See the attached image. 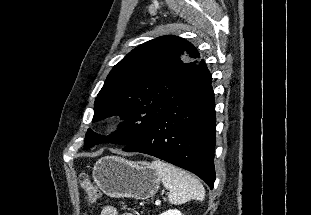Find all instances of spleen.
Here are the masks:
<instances>
[{
  "mask_svg": "<svg viewBox=\"0 0 311 215\" xmlns=\"http://www.w3.org/2000/svg\"><path fill=\"white\" fill-rule=\"evenodd\" d=\"M151 165L163 186L169 190L168 200L171 204H183L190 200L203 201L205 189L193 175L161 160H154Z\"/></svg>",
  "mask_w": 311,
  "mask_h": 215,
  "instance_id": "3e777b00",
  "label": "spleen"
}]
</instances>
